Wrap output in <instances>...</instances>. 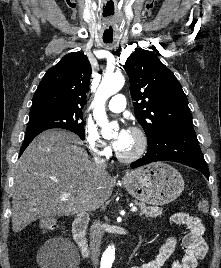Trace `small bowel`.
<instances>
[{
    "mask_svg": "<svg viewBox=\"0 0 221 268\" xmlns=\"http://www.w3.org/2000/svg\"><path fill=\"white\" fill-rule=\"evenodd\" d=\"M171 221L175 224L185 226L188 231L182 239L185 254L182 259L173 261L170 268H197L199 261L206 256L208 251L204 239V224L200 218L185 212L174 214L171 217ZM175 246L176 239L173 236H168L154 259L131 268H160L171 256Z\"/></svg>",
    "mask_w": 221,
    "mask_h": 268,
    "instance_id": "c3829d8e",
    "label": "small bowel"
}]
</instances>
